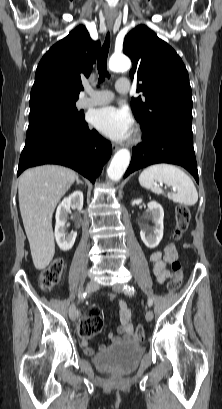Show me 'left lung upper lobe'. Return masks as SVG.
Here are the masks:
<instances>
[{"mask_svg":"<svg viewBox=\"0 0 222 409\" xmlns=\"http://www.w3.org/2000/svg\"><path fill=\"white\" fill-rule=\"evenodd\" d=\"M123 52L133 61L130 78L137 80L132 98L135 118L143 128L167 119L192 123V92L184 63L174 49L144 25L124 39Z\"/></svg>","mask_w":222,"mask_h":409,"instance_id":"1","label":"left lung upper lobe"}]
</instances>
